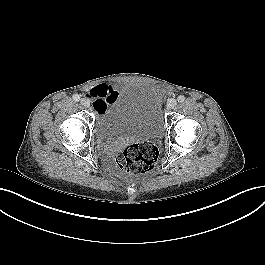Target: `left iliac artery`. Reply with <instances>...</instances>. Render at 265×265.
<instances>
[{
	"instance_id": "obj_1",
	"label": "left iliac artery",
	"mask_w": 265,
	"mask_h": 265,
	"mask_svg": "<svg viewBox=\"0 0 265 265\" xmlns=\"http://www.w3.org/2000/svg\"><path fill=\"white\" fill-rule=\"evenodd\" d=\"M178 102L182 103L185 100V97L183 95L178 96L177 98Z\"/></svg>"
}]
</instances>
